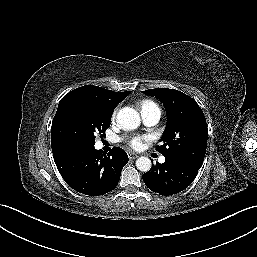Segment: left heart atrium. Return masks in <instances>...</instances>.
<instances>
[{
  "instance_id": "left-heart-atrium-1",
  "label": "left heart atrium",
  "mask_w": 257,
  "mask_h": 257,
  "mask_svg": "<svg viewBox=\"0 0 257 257\" xmlns=\"http://www.w3.org/2000/svg\"><path fill=\"white\" fill-rule=\"evenodd\" d=\"M149 140L148 136L145 135H136L133 137H130L127 140V143L129 144L130 147L133 149H140L143 147L144 143Z\"/></svg>"
}]
</instances>
